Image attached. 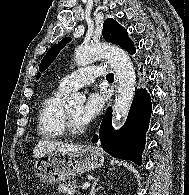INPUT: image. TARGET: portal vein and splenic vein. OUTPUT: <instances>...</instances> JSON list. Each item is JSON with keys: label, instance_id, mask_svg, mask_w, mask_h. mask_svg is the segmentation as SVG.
I'll list each match as a JSON object with an SVG mask.
<instances>
[{"label": "portal vein and splenic vein", "instance_id": "1", "mask_svg": "<svg viewBox=\"0 0 189 195\" xmlns=\"http://www.w3.org/2000/svg\"><path fill=\"white\" fill-rule=\"evenodd\" d=\"M90 186V183L89 182H86L84 185H83V189H85V188H88Z\"/></svg>", "mask_w": 189, "mask_h": 195}]
</instances>
